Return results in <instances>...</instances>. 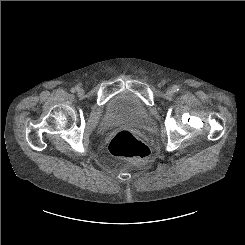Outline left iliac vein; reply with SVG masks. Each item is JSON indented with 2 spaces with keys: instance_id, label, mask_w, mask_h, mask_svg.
<instances>
[{
  "instance_id": "obj_1",
  "label": "left iliac vein",
  "mask_w": 245,
  "mask_h": 245,
  "mask_svg": "<svg viewBox=\"0 0 245 245\" xmlns=\"http://www.w3.org/2000/svg\"><path fill=\"white\" fill-rule=\"evenodd\" d=\"M167 96H173L174 92L172 89L167 90L166 92Z\"/></svg>"
}]
</instances>
